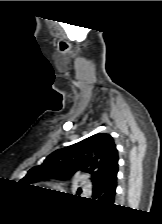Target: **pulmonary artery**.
<instances>
[{
    "label": "pulmonary artery",
    "mask_w": 162,
    "mask_h": 224,
    "mask_svg": "<svg viewBox=\"0 0 162 224\" xmlns=\"http://www.w3.org/2000/svg\"><path fill=\"white\" fill-rule=\"evenodd\" d=\"M81 185L83 188H86L89 186V183L87 182V180L85 178L81 179Z\"/></svg>",
    "instance_id": "1"
}]
</instances>
